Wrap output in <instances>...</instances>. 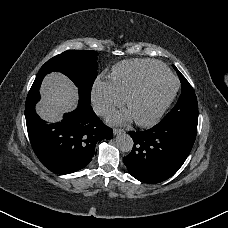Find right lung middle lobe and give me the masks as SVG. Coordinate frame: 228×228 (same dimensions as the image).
<instances>
[{
  "label": "right lung middle lobe",
  "mask_w": 228,
  "mask_h": 228,
  "mask_svg": "<svg viewBox=\"0 0 228 228\" xmlns=\"http://www.w3.org/2000/svg\"><path fill=\"white\" fill-rule=\"evenodd\" d=\"M97 55V52L88 50L65 51L41 67L33 85L39 88L46 74L53 71L61 72L78 87L79 102L90 104L91 89L97 76Z\"/></svg>",
  "instance_id": "obj_1"
}]
</instances>
